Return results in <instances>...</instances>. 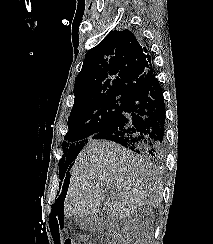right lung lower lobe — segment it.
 Masks as SVG:
<instances>
[{
    "label": "right lung lower lobe",
    "mask_w": 213,
    "mask_h": 244,
    "mask_svg": "<svg viewBox=\"0 0 213 244\" xmlns=\"http://www.w3.org/2000/svg\"><path fill=\"white\" fill-rule=\"evenodd\" d=\"M164 126L163 93L157 77L153 74L129 99L115 123L93 139L116 142L146 159L160 162L164 156ZM68 181L69 174L64 180V191Z\"/></svg>",
    "instance_id": "right-lung-lower-lobe-1"
}]
</instances>
